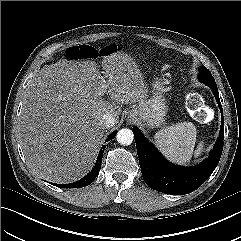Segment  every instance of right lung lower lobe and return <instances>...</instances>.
<instances>
[{"instance_id":"right-lung-lower-lobe-1","label":"right lung lower lobe","mask_w":241,"mask_h":241,"mask_svg":"<svg viewBox=\"0 0 241 241\" xmlns=\"http://www.w3.org/2000/svg\"><path fill=\"white\" fill-rule=\"evenodd\" d=\"M116 136V131L112 132V134L106 139L107 141H110L111 139H113ZM106 147L103 146L100 149L96 164L94 166V168L91 170V172H89L85 177H83L81 180L74 182V183H70V184H53L57 187L60 188H81V187H85L87 185H89L99 174L100 168H101V163H102V156H103V152H104V148Z\"/></svg>"}]
</instances>
